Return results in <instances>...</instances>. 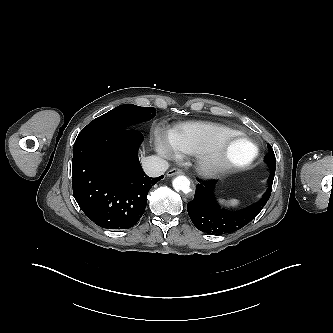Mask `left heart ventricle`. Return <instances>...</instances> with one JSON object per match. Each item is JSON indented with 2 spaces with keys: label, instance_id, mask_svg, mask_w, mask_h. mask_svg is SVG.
<instances>
[{
  "label": "left heart ventricle",
  "instance_id": "left-heart-ventricle-1",
  "mask_svg": "<svg viewBox=\"0 0 333 333\" xmlns=\"http://www.w3.org/2000/svg\"><path fill=\"white\" fill-rule=\"evenodd\" d=\"M250 152V147L243 143H237L230 146V153L236 159L246 157Z\"/></svg>",
  "mask_w": 333,
  "mask_h": 333
}]
</instances>
